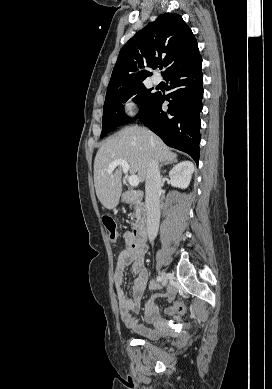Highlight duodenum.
<instances>
[{
	"instance_id": "410a0bca",
	"label": "duodenum",
	"mask_w": 272,
	"mask_h": 389,
	"mask_svg": "<svg viewBox=\"0 0 272 389\" xmlns=\"http://www.w3.org/2000/svg\"><path fill=\"white\" fill-rule=\"evenodd\" d=\"M144 192L142 190L126 191L122 195V200L125 203L141 202L144 199ZM147 225L148 217L146 214L142 215L136 223L130 236L135 243H145L147 240Z\"/></svg>"
}]
</instances>
